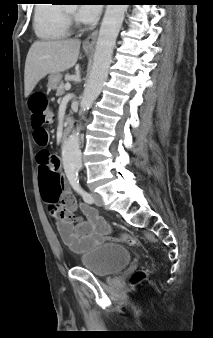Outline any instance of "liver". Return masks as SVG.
Returning a JSON list of instances; mask_svg holds the SVG:
<instances>
[{
    "label": "liver",
    "mask_w": 213,
    "mask_h": 338,
    "mask_svg": "<svg viewBox=\"0 0 213 338\" xmlns=\"http://www.w3.org/2000/svg\"><path fill=\"white\" fill-rule=\"evenodd\" d=\"M80 40L36 41L30 47L24 71L25 97L47 74L60 73L72 68L80 51Z\"/></svg>",
    "instance_id": "obj_1"
}]
</instances>
